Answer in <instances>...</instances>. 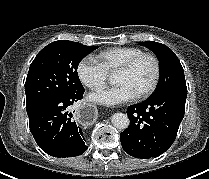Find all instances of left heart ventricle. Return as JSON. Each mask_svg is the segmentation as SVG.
<instances>
[{
  "mask_svg": "<svg viewBox=\"0 0 209 179\" xmlns=\"http://www.w3.org/2000/svg\"><path fill=\"white\" fill-rule=\"evenodd\" d=\"M154 73L155 68L152 60L144 58L131 71L114 75L113 81L115 84L126 85L137 95L150 86L154 78Z\"/></svg>",
  "mask_w": 209,
  "mask_h": 179,
  "instance_id": "1",
  "label": "left heart ventricle"
}]
</instances>
